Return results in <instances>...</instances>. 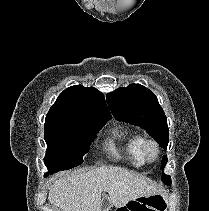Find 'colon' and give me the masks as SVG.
<instances>
[{
    "label": "colon",
    "mask_w": 209,
    "mask_h": 211,
    "mask_svg": "<svg viewBox=\"0 0 209 211\" xmlns=\"http://www.w3.org/2000/svg\"><path fill=\"white\" fill-rule=\"evenodd\" d=\"M165 207L164 199L161 195L148 197H138L129 201L125 206L117 211H159Z\"/></svg>",
    "instance_id": "5ec220e1"
}]
</instances>
